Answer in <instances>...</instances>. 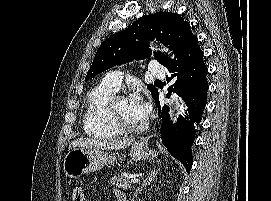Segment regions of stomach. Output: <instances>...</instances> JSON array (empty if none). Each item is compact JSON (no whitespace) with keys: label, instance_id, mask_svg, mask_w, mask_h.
<instances>
[{"label":"stomach","instance_id":"1","mask_svg":"<svg viewBox=\"0 0 271 201\" xmlns=\"http://www.w3.org/2000/svg\"><path fill=\"white\" fill-rule=\"evenodd\" d=\"M156 153L143 143L135 142L129 157L135 161L153 159ZM120 156L98 149L74 148L64 159L63 170L67 177L78 178L83 174L100 170L104 166L113 164Z\"/></svg>","mask_w":271,"mask_h":201}]
</instances>
